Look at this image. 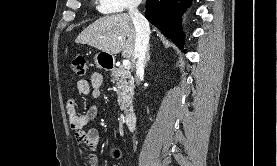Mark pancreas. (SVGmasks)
<instances>
[{"label": "pancreas", "instance_id": "cf45deb5", "mask_svg": "<svg viewBox=\"0 0 277 166\" xmlns=\"http://www.w3.org/2000/svg\"><path fill=\"white\" fill-rule=\"evenodd\" d=\"M112 82L118 88L117 98L121 110H127L132 105L134 95V82L131 72L125 66H120L112 71Z\"/></svg>", "mask_w": 277, "mask_h": 166}]
</instances>
